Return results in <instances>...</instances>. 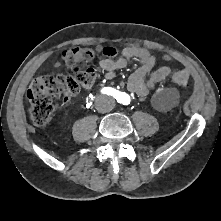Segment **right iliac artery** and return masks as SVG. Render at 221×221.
<instances>
[{
    "instance_id": "obj_1",
    "label": "right iliac artery",
    "mask_w": 221,
    "mask_h": 221,
    "mask_svg": "<svg viewBox=\"0 0 221 221\" xmlns=\"http://www.w3.org/2000/svg\"><path fill=\"white\" fill-rule=\"evenodd\" d=\"M101 93H102V94H106V95L113 96L114 98H115V97H118V95H119V92H118L116 89L111 88V87H104V88L101 90Z\"/></svg>"
}]
</instances>
